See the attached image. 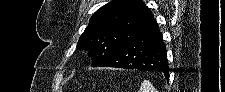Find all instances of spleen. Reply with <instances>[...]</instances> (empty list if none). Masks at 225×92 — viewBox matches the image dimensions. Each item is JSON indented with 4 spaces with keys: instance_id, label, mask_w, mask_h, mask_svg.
Segmentation results:
<instances>
[{
    "instance_id": "spleen-1",
    "label": "spleen",
    "mask_w": 225,
    "mask_h": 92,
    "mask_svg": "<svg viewBox=\"0 0 225 92\" xmlns=\"http://www.w3.org/2000/svg\"><path fill=\"white\" fill-rule=\"evenodd\" d=\"M139 92H157L149 80H144L141 84Z\"/></svg>"
}]
</instances>
